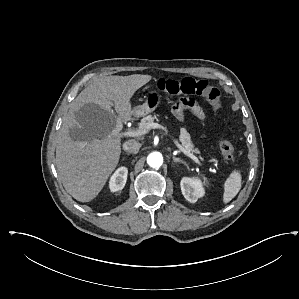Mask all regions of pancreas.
<instances>
[{
    "instance_id": "cf45deb5",
    "label": "pancreas",
    "mask_w": 299,
    "mask_h": 299,
    "mask_svg": "<svg viewBox=\"0 0 299 299\" xmlns=\"http://www.w3.org/2000/svg\"><path fill=\"white\" fill-rule=\"evenodd\" d=\"M155 119H156V115H148L144 117L139 124V129L141 130L147 129L148 125L150 123H153ZM179 140L182 143V146L186 150L196 152V153L198 152L197 149H194V145L191 142L190 135L189 133H187L185 128L180 129Z\"/></svg>"
}]
</instances>
